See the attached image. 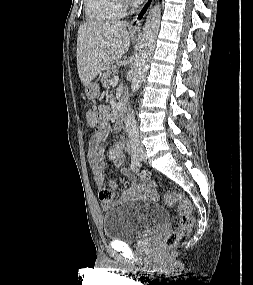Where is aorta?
<instances>
[{
	"label": "aorta",
	"instance_id": "1",
	"mask_svg": "<svg viewBox=\"0 0 253 285\" xmlns=\"http://www.w3.org/2000/svg\"><path fill=\"white\" fill-rule=\"evenodd\" d=\"M161 21V6L156 4L149 12L143 27L134 74L131 83V93H136L148 71L149 62L155 49ZM125 128L128 134L138 132L137 121L133 113H128L125 119Z\"/></svg>",
	"mask_w": 253,
	"mask_h": 285
}]
</instances>
